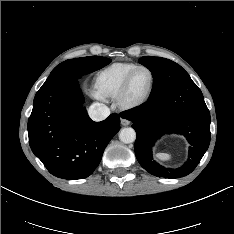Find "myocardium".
Masks as SVG:
<instances>
[{
	"label": "myocardium",
	"instance_id": "obj_1",
	"mask_svg": "<svg viewBox=\"0 0 234 234\" xmlns=\"http://www.w3.org/2000/svg\"><path fill=\"white\" fill-rule=\"evenodd\" d=\"M139 70H147L150 73V75H151L150 87H149L148 91L140 98L130 99L129 98L130 85H131V82H132L134 75ZM155 80H156L155 74L151 68L144 66V65H140V66H137L136 68H134L126 77V79L121 87V90L116 98L119 107L124 109V110H131V109L139 107L140 105L145 103L148 100V98L150 97V95L152 94V91H153L154 86H155Z\"/></svg>",
	"mask_w": 234,
	"mask_h": 234
}]
</instances>
